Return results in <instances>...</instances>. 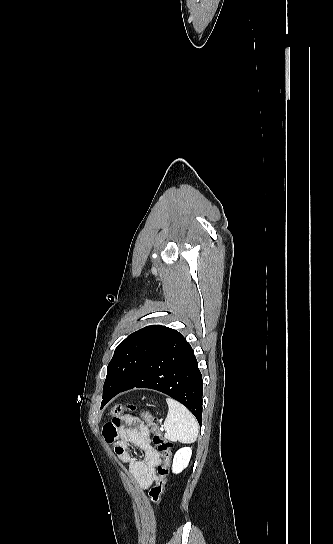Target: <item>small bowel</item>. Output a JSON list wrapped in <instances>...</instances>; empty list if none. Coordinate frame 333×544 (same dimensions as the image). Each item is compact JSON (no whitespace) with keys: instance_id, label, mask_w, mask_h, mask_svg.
<instances>
[{"instance_id":"c3829d8e","label":"small bowel","mask_w":333,"mask_h":544,"mask_svg":"<svg viewBox=\"0 0 333 544\" xmlns=\"http://www.w3.org/2000/svg\"><path fill=\"white\" fill-rule=\"evenodd\" d=\"M103 436L114 445L119 460L128 465L136 484L143 490L149 489L157 479L156 468L161 464V456L151 444L147 426L134 416H118L104 425ZM128 443L142 450V459L132 457Z\"/></svg>"}]
</instances>
